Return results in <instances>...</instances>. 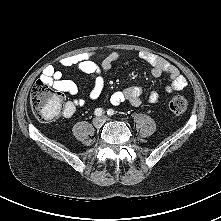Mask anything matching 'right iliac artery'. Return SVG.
<instances>
[{"instance_id":"82829eb1","label":"right iliac artery","mask_w":221,"mask_h":221,"mask_svg":"<svg viewBox=\"0 0 221 221\" xmlns=\"http://www.w3.org/2000/svg\"><path fill=\"white\" fill-rule=\"evenodd\" d=\"M94 113L96 116H101L104 113V111L101 108H97Z\"/></svg>"}]
</instances>
